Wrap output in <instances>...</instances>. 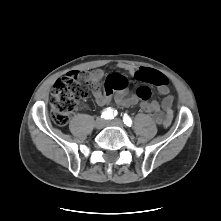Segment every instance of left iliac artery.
Wrapping results in <instances>:
<instances>
[{
    "mask_svg": "<svg viewBox=\"0 0 221 221\" xmlns=\"http://www.w3.org/2000/svg\"><path fill=\"white\" fill-rule=\"evenodd\" d=\"M123 122H124V124H126L127 126H131V124H132V120H131L130 117L127 116L126 114H125L124 117H123Z\"/></svg>",
    "mask_w": 221,
    "mask_h": 221,
    "instance_id": "left-iliac-artery-1",
    "label": "left iliac artery"
}]
</instances>
